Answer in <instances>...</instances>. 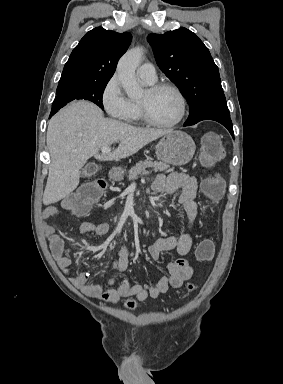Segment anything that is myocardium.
Returning <instances> with one entry per match:
<instances>
[{
	"mask_svg": "<svg viewBox=\"0 0 283 384\" xmlns=\"http://www.w3.org/2000/svg\"><path fill=\"white\" fill-rule=\"evenodd\" d=\"M150 92H158L161 90H170L172 91L178 98L179 103H180V110L177 118L169 123H159L155 121L154 119L151 118V116L148 113V109L146 105L142 102H138L139 106V113L142 121L147 124L150 127L156 128V129H161V130H167L171 129L175 126H177L185 117L186 114V99L183 95V93L180 91L178 87H176L173 84L167 83V82H161V83H156L152 84L148 87Z\"/></svg>",
	"mask_w": 283,
	"mask_h": 384,
	"instance_id": "1",
	"label": "myocardium"
}]
</instances>
